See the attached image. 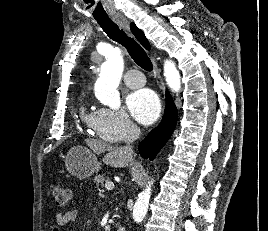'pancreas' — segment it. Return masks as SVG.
Wrapping results in <instances>:
<instances>
[{"label":"pancreas","instance_id":"1","mask_svg":"<svg viewBox=\"0 0 268 231\" xmlns=\"http://www.w3.org/2000/svg\"><path fill=\"white\" fill-rule=\"evenodd\" d=\"M109 181V179L105 176V174L97 175L94 178V182L97 186H103L105 182Z\"/></svg>","mask_w":268,"mask_h":231}]
</instances>
